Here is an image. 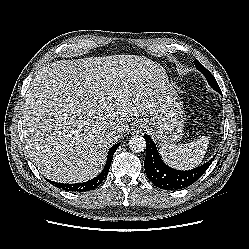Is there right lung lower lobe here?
<instances>
[{"label":"right lung lower lobe","mask_w":249,"mask_h":249,"mask_svg":"<svg viewBox=\"0 0 249 249\" xmlns=\"http://www.w3.org/2000/svg\"><path fill=\"white\" fill-rule=\"evenodd\" d=\"M119 145L120 143H117L110 148L104 169L94 179L89 180L87 182H83V183H77V184H64V183H57V182L48 180L49 183H51L52 185L58 188H62L67 191H75V192L89 191V190L96 188L106 178L111 162H112L113 155Z\"/></svg>","instance_id":"right-lung-lower-lobe-1"}]
</instances>
